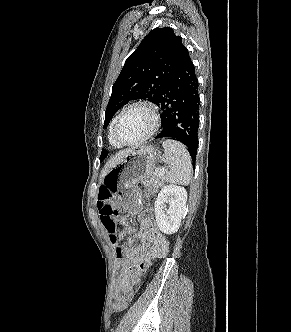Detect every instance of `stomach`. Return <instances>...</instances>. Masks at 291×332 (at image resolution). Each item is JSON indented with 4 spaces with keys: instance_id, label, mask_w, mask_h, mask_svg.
Here are the masks:
<instances>
[{
    "instance_id": "1",
    "label": "stomach",
    "mask_w": 291,
    "mask_h": 332,
    "mask_svg": "<svg viewBox=\"0 0 291 332\" xmlns=\"http://www.w3.org/2000/svg\"><path fill=\"white\" fill-rule=\"evenodd\" d=\"M158 159L159 152L151 146L135 148L109 169L102 185L125 210L135 213L141 199L137 184L152 176Z\"/></svg>"
}]
</instances>
